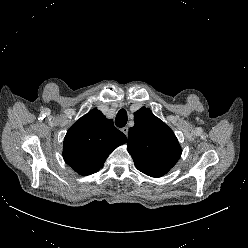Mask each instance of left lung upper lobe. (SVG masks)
I'll return each mask as SVG.
<instances>
[{"instance_id":"1","label":"left lung upper lobe","mask_w":248,"mask_h":248,"mask_svg":"<svg viewBox=\"0 0 248 248\" xmlns=\"http://www.w3.org/2000/svg\"><path fill=\"white\" fill-rule=\"evenodd\" d=\"M127 149L136 168L151 177H161L178 161L182 150L173 131L149 108L134 113Z\"/></svg>"}]
</instances>
